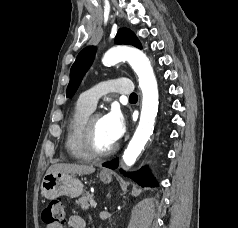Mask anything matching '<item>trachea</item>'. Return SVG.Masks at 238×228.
Here are the masks:
<instances>
[{
    "instance_id": "obj_1",
    "label": "trachea",
    "mask_w": 238,
    "mask_h": 228,
    "mask_svg": "<svg viewBox=\"0 0 238 228\" xmlns=\"http://www.w3.org/2000/svg\"><path fill=\"white\" fill-rule=\"evenodd\" d=\"M137 98H138V96H137L136 93H132V94L129 96V99H130V100H134V99H137Z\"/></svg>"
}]
</instances>
